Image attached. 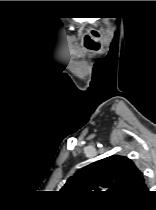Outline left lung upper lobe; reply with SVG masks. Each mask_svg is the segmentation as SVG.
Returning a JSON list of instances; mask_svg holds the SVG:
<instances>
[{"label": "left lung upper lobe", "instance_id": "left-lung-upper-lobe-1", "mask_svg": "<svg viewBox=\"0 0 156 210\" xmlns=\"http://www.w3.org/2000/svg\"><path fill=\"white\" fill-rule=\"evenodd\" d=\"M70 193H113L138 196L147 193L143 173L132 160L113 155L78 170L61 189Z\"/></svg>", "mask_w": 156, "mask_h": 210}]
</instances>
